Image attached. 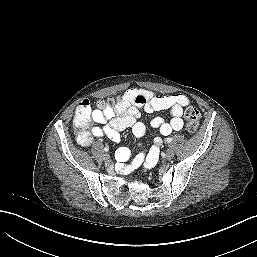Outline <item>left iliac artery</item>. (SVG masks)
Masks as SVG:
<instances>
[{
  "instance_id": "left-iliac-artery-1",
  "label": "left iliac artery",
  "mask_w": 257,
  "mask_h": 257,
  "mask_svg": "<svg viewBox=\"0 0 257 257\" xmlns=\"http://www.w3.org/2000/svg\"><path fill=\"white\" fill-rule=\"evenodd\" d=\"M167 143H170L171 141H172V138L171 137H168V138H166V140H165Z\"/></svg>"
}]
</instances>
